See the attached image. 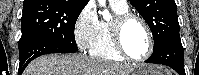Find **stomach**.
Listing matches in <instances>:
<instances>
[{
    "instance_id": "obj_1",
    "label": "stomach",
    "mask_w": 199,
    "mask_h": 75,
    "mask_svg": "<svg viewBox=\"0 0 199 75\" xmlns=\"http://www.w3.org/2000/svg\"><path fill=\"white\" fill-rule=\"evenodd\" d=\"M164 73L162 67L151 64H141L134 67L129 75H164Z\"/></svg>"
}]
</instances>
